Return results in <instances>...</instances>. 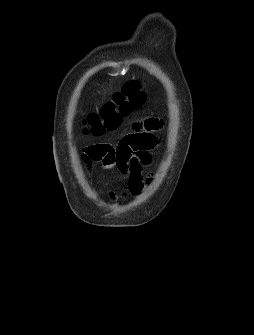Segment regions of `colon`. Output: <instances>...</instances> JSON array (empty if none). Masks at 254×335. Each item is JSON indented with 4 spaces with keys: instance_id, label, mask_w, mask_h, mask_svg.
Returning <instances> with one entry per match:
<instances>
[{
    "instance_id": "colon-1",
    "label": "colon",
    "mask_w": 254,
    "mask_h": 335,
    "mask_svg": "<svg viewBox=\"0 0 254 335\" xmlns=\"http://www.w3.org/2000/svg\"><path fill=\"white\" fill-rule=\"evenodd\" d=\"M144 100L140 85L137 82L127 83L121 92L114 94L112 101L103 106L99 114L89 116L90 132L93 135H100L105 131L116 129L121 117L141 107Z\"/></svg>"
}]
</instances>
